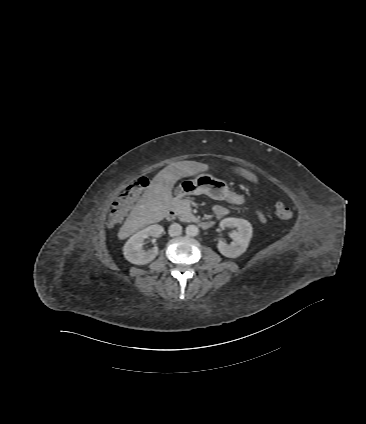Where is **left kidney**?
<instances>
[{"mask_svg":"<svg viewBox=\"0 0 366 424\" xmlns=\"http://www.w3.org/2000/svg\"><path fill=\"white\" fill-rule=\"evenodd\" d=\"M221 228H237V231H233L230 233V237L233 239V242L228 245L223 241H219L217 244V248L219 252L228 257V258H236L243 254L252 238V226L245 219L239 218H225L220 222Z\"/></svg>","mask_w":366,"mask_h":424,"instance_id":"left-kidney-1","label":"left kidney"}]
</instances>
